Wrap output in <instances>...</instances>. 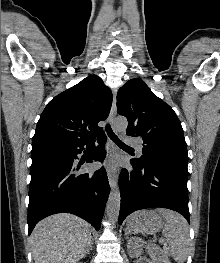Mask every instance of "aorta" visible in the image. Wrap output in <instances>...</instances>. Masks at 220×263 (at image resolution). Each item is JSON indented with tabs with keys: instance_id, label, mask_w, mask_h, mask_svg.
I'll return each instance as SVG.
<instances>
[{
	"instance_id": "obj_1",
	"label": "aorta",
	"mask_w": 220,
	"mask_h": 263,
	"mask_svg": "<svg viewBox=\"0 0 220 263\" xmlns=\"http://www.w3.org/2000/svg\"><path fill=\"white\" fill-rule=\"evenodd\" d=\"M128 126V122L126 118L120 117L114 120L113 127L114 130L118 133L125 132ZM120 202H121V195L120 189L117 183H115L112 188L108 198L106 212L107 216L113 224L118 220L119 211H120Z\"/></svg>"
}]
</instances>
